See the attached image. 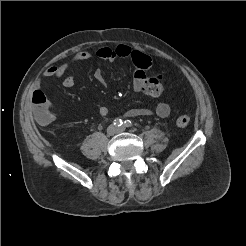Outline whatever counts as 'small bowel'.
I'll list each match as a JSON object with an SVG mask.
<instances>
[{
  "mask_svg": "<svg viewBox=\"0 0 246 246\" xmlns=\"http://www.w3.org/2000/svg\"><path fill=\"white\" fill-rule=\"evenodd\" d=\"M133 49L128 45H118L115 48L110 47H102L98 49L95 53H91L88 51H80L74 54L68 61L60 64V65H53L48 67L41 79L38 80L36 83V90L37 92L43 96L45 99V109H46V117L41 120L38 119V122L42 125L50 124L54 122L58 118V112L50 107L47 102L46 96L43 92V88L45 87L47 81L51 78H61L67 72V70L74 64L87 61V60H96L97 62L102 61H113L118 58L129 59L131 58V54ZM95 78L98 82L104 84L105 79L100 69L95 71ZM146 78V74L136 70L134 73V80H133V88L135 92H142V84L144 79ZM75 84L74 77L71 74H68L63 79V85L65 87H72ZM171 108L169 104L165 102H159L154 109L148 108H134L127 111L126 115L130 117H137V116H145L155 114L158 117L166 118L170 115ZM99 114L102 117H106L109 114V109L106 106H101L99 108Z\"/></svg>",
  "mask_w": 246,
  "mask_h": 246,
  "instance_id": "obj_1",
  "label": "small bowel"
}]
</instances>
